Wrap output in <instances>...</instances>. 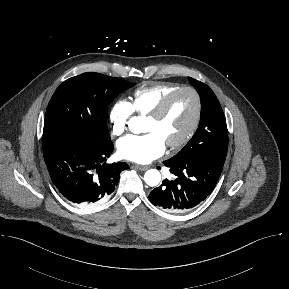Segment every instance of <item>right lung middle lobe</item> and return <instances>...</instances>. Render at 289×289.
Segmentation results:
<instances>
[{
	"label": "right lung middle lobe",
	"instance_id": "dd1d6c3e",
	"mask_svg": "<svg viewBox=\"0 0 289 289\" xmlns=\"http://www.w3.org/2000/svg\"><path fill=\"white\" fill-rule=\"evenodd\" d=\"M135 84L87 72L64 81L46 110L42 145L74 138L103 146L111 143L107 128L109 104Z\"/></svg>",
	"mask_w": 289,
	"mask_h": 289
}]
</instances>
